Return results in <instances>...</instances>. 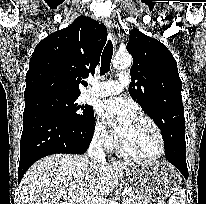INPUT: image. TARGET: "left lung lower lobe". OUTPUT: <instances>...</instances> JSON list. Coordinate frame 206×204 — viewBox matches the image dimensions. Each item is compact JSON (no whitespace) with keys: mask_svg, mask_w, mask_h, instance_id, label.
<instances>
[{"mask_svg":"<svg viewBox=\"0 0 206 204\" xmlns=\"http://www.w3.org/2000/svg\"><path fill=\"white\" fill-rule=\"evenodd\" d=\"M166 159L188 178L185 137L174 135L164 140Z\"/></svg>","mask_w":206,"mask_h":204,"instance_id":"1","label":"left lung lower lobe"}]
</instances>
